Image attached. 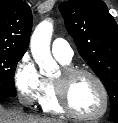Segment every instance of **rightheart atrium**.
I'll list each match as a JSON object with an SVG mask.
<instances>
[{"instance_id": "obj_1", "label": "right heart atrium", "mask_w": 118, "mask_h": 123, "mask_svg": "<svg viewBox=\"0 0 118 123\" xmlns=\"http://www.w3.org/2000/svg\"><path fill=\"white\" fill-rule=\"evenodd\" d=\"M14 83L19 99L25 105H34L39 102L45 91V79L28 55H25L17 64L14 71Z\"/></svg>"}]
</instances>
